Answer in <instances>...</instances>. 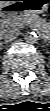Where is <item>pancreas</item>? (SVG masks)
Masks as SVG:
<instances>
[{
    "mask_svg": "<svg viewBox=\"0 0 50 111\" xmlns=\"http://www.w3.org/2000/svg\"><path fill=\"white\" fill-rule=\"evenodd\" d=\"M33 22L39 30H43V21L37 15H14L6 19L3 26L8 29H19L25 24Z\"/></svg>",
    "mask_w": 50,
    "mask_h": 111,
    "instance_id": "obj_1",
    "label": "pancreas"
}]
</instances>
